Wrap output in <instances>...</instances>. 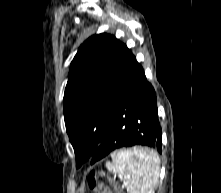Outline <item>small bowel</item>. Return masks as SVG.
I'll return each instance as SVG.
<instances>
[{
	"label": "small bowel",
	"instance_id": "c3829d8e",
	"mask_svg": "<svg viewBox=\"0 0 221 193\" xmlns=\"http://www.w3.org/2000/svg\"><path fill=\"white\" fill-rule=\"evenodd\" d=\"M103 193H112L109 187L103 186Z\"/></svg>",
	"mask_w": 221,
	"mask_h": 193
}]
</instances>
